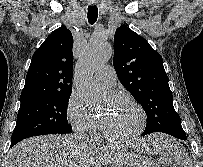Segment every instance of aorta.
Returning a JSON list of instances; mask_svg holds the SVG:
<instances>
[{"mask_svg": "<svg viewBox=\"0 0 203 167\" xmlns=\"http://www.w3.org/2000/svg\"><path fill=\"white\" fill-rule=\"evenodd\" d=\"M113 54L107 42H91L76 64L75 85L80 97L87 105H95L101 99L99 90L91 82L94 71L105 65Z\"/></svg>", "mask_w": 203, "mask_h": 167, "instance_id": "1", "label": "aorta"}]
</instances>
